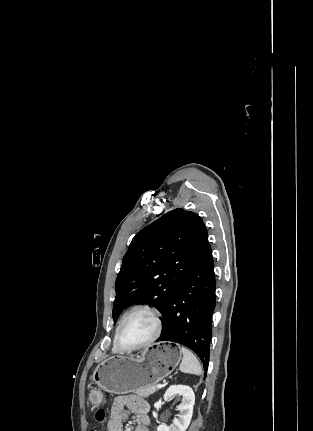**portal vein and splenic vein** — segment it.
Here are the masks:
<instances>
[{
    "mask_svg": "<svg viewBox=\"0 0 313 431\" xmlns=\"http://www.w3.org/2000/svg\"><path fill=\"white\" fill-rule=\"evenodd\" d=\"M163 386L164 385H162V384H158V385H156V388L161 389Z\"/></svg>",
    "mask_w": 313,
    "mask_h": 431,
    "instance_id": "1",
    "label": "portal vein and splenic vein"
}]
</instances>
